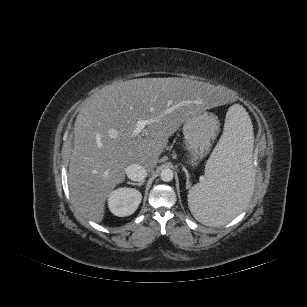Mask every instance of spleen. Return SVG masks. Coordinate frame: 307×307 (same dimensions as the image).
<instances>
[{
	"label": "spleen",
	"instance_id": "obj_1",
	"mask_svg": "<svg viewBox=\"0 0 307 307\" xmlns=\"http://www.w3.org/2000/svg\"><path fill=\"white\" fill-rule=\"evenodd\" d=\"M253 128L244 108H229L223 134L210 155L205 177L188 192L196 220L210 227L226 224L249 202L254 190Z\"/></svg>",
	"mask_w": 307,
	"mask_h": 307
}]
</instances>
